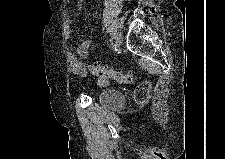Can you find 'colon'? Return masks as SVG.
Wrapping results in <instances>:
<instances>
[{
  "instance_id": "obj_1",
  "label": "colon",
  "mask_w": 225,
  "mask_h": 159,
  "mask_svg": "<svg viewBox=\"0 0 225 159\" xmlns=\"http://www.w3.org/2000/svg\"><path fill=\"white\" fill-rule=\"evenodd\" d=\"M90 73L99 78L101 83H105L109 80L117 81L121 84H132L136 80L134 72H122L112 67L103 66L98 63H92L88 67ZM151 83L149 81H143L137 85L134 90V101L137 104H146L150 98Z\"/></svg>"
}]
</instances>
